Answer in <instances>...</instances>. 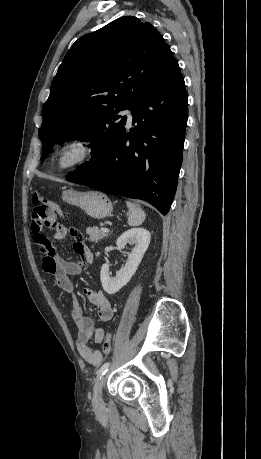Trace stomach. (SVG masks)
Wrapping results in <instances>:
<instances>
[{"mask_svg":"<svg viewBox=\"0 0 261 459\" xmlns=\"http://www.w3.org/2000/svg\"><path fill=\"white\" fill-rule=\"evenodd\" d=\"M62 199L68 204L80 207L87 215L95 219H103L109 216L113 210L110 199L98 191L66 190L62 194Z\"/></svg>","mask_w":261,"mask_h":459,"instance_id":"0dacf381","label":"stomach"}]
</instances>
